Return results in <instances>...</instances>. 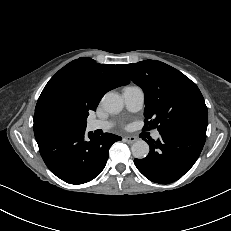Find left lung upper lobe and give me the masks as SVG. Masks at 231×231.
<instances>
[{
    "label": "left lung upper lobe",
    "mask_w": 231,
    "mask_h": 231,
    "mask_svg": "<svg viewBox=\"0 0 231 231\" xmlns=\"http://www.w3.org/2000/svg\"><path fill=\"white\" fill-rule=\"evenodd\" d=\"M120 70L145 94V127L158 131L193 126L207 129L204 98L187 76L157 60L119 65Z\"/></svg>",
    "instance_id": "5c2ea615"
}]
</instances>
